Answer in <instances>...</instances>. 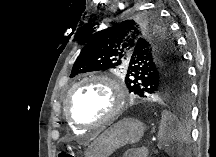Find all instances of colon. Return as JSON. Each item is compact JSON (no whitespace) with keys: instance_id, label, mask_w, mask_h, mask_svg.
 Returning a JSON list of instances; mask_svg holds the SVG:
<instances>
[{"instance_id":"colon-1","label":"colon","mask_w":216,"mask_h":157,"mask_svg":"<svg viewBox=\"0 0 216 157\" xmlns=\"http://www.w3.org/2000/svg\"><path fill=\"white\" fill-rule=\"evenodd\" d=\"M59 157H74V156L69 152H62Z\"/></svg>"}]
</instances>
